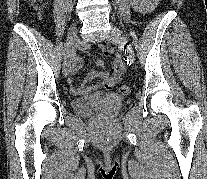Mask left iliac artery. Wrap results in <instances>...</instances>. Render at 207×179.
I'll return each instance as SVG.
<instances>
[{"instance_id": "obj_1", "label": "left iliac artery", "mask_w": 207, "mask_h": 179, "mask_svg": "<svg viewBox=\"0 0 207 179\" xmlns=\"http://www.w3.org/2000/svg\"><path fill=\"white\" fill-rule=\"evenodd\" d=\"M124 40H127V37H124Z\"/></svg>"}]
</instances>
